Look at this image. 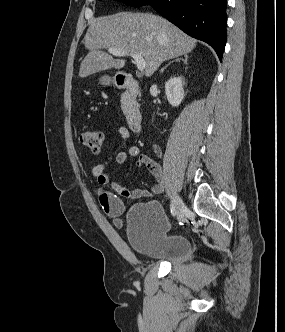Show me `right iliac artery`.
<instances>
[{"instance_id":"obj_1","label":"right iliac artery","mask_w":285,"mask_h":332,"mask_svg":"<svg viewBox=\"0 0 285 332\" xmlns=\"http://www.w3.org/2000/svg\"><path fill=\"white\" fill-rule=\"evenodd\" d=\"M170 210H171L172 216H175L176 215V209H175V206H174L173 203H171V205H170Z\"/></svg>"}]
</instances>
